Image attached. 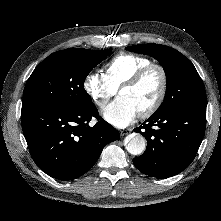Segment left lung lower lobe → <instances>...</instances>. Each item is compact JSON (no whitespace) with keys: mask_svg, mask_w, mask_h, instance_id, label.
Wrapping results in <instances>:
<instances>
[{"mask_svg":"<svg viewBox=\"0 0 221 221\" xmlns=\"http://www.w3.org/2000/svg\"><path fill=\"white\" fill-rule=\"evenodd\" d=\"M205 128L206 108H170L155 112L134 129L147 140V150L133 159L134 165L144 174L157 178L182 172L193 161Z\"/></svg>","mask_w":221,"mask_h":221,"instance_id":"obj_1","label":"left lung lower lobe"}]
</instances>
